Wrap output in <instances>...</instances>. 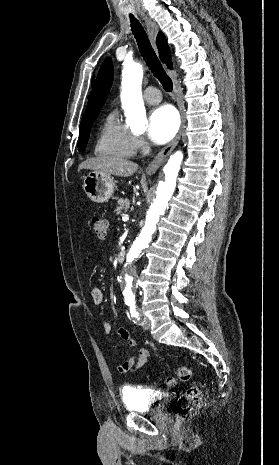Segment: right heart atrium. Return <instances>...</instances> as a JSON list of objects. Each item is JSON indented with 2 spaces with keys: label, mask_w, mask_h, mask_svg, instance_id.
Segmentation results:
<instances>
[{
  "label": "right heart atrium",
  "mask_w": 279,
  "mask_h": 465,
  "mask_svg": "<svg viewBox=\"0 0 279 465\" xmlns=\"http://www.w3.org/2000/svg\"><path fill=\"white\" fill-rule=\"evenodd\" d=\"M133 145L135 150H141L146 146V142L141 135L133 134Z\"/></svg>",
  "instance_id": "d8ad5b80"
}]
</instances>
